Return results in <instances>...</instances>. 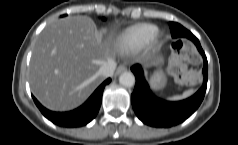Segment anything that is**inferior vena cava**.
<instances>
[{
	"instance_id": "602c4592",
	"label": "inferior vena cava",
	"mask_w": 238,
	"mask_h": 145,
	"mask_svg": "<svg viewBox=\"0 0 238 145\" xmlns=\"http://www.w3.org/2000/svg\"><path fill=\"white\" fill-rule=\"evenodd\" d=\"M115 69H116V63L115 61L111 60L104 63L100 67L99 74L103 77H111L113 76Z\"/></svg>"
}]
</instances>
